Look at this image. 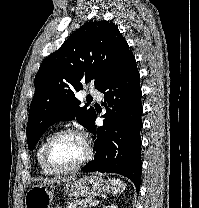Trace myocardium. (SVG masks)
Segmentation results:
<instances>
[{
	"mask_svg": "<svg viewBox=\"0 0 199 208\" xmlns=\"http://www.w3.org/2000/svg\"><path fill=\"white\" fill-rule=\"evenodd\" d=\"M64 135L78 136L81 139V141L83 142L85 149H86L85 156L82 158V160L80 162H78L77 164H75L71 167H68V168L57 167L52 162L51 155H50V150H51V147L54 144V142L58 138H60L61 136H64ZM92 156H93V146H92L91 142L89 141L88 136L83 131H81L77 128H64V129H61V130L53 133L50 136V138L48 139V141L46 142L45 147H44V161H45L46 165L48 166V168L57 174H68V173H72V172H75V171L81 169L91 160Z\"/></svg>",
	"mask_w": 199,
	"mask_h": 208,
	"instance_id": "f54148a6",
	"label": "myocardium"
}]
</instances>
